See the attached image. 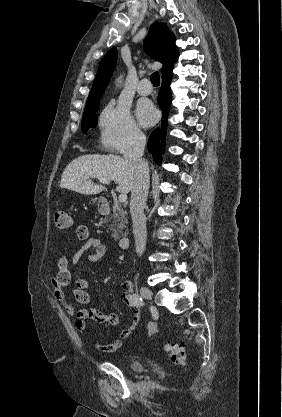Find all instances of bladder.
<instances>
[{
	"label": "bladder",
	"instance_id": "obj_1",
	"mask_svg": "<svg viewBox=\"0 0 282 417\" xmlns=\"http://www.w3.org/2000/svg\"><path fill=\"white\" fill-rule=\"evenodd\" d=\"M126 366L133 372H142L144 370V364L136 358L128 359L126 361Z\"/></svg>",
	"mask_w": 282,
	"mask_h": 417
}]
</instances>
